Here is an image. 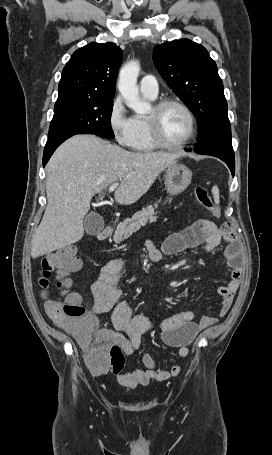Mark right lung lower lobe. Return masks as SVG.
Listing matches in <instances>:
<instances>
[{
    "mask_svg": "<svg viewBox=\"0 0 272 455\" xmlns=\"http://www.w3.org/2000/svg\"><path fill=\"white\" fill-rule=\"evenodd\" d=\"M73 135H67L63 137H59L53 140H48L43 153V166H45L50 159L53 152L57 149V147L62 144L66 139L70 138Z\"/></svg>",
    "mask_w": 272,
    "mask_h": 455,
    "instance_id": "98d812e1",
    "label": "right lung lower lobe"
}]
</instances>
